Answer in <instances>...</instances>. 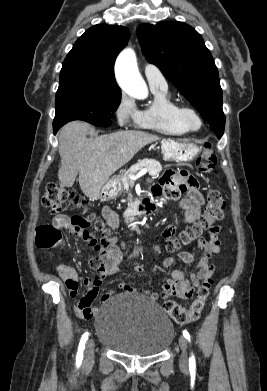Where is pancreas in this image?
Segmentation results:
<instances>
[{
  "mask_svg": "<svg viewBox=\"0 0 267 391\" xmlns=\"http://www.w3.org/2000/svg\"><path fill=\"white\" fill-rule=\"evenodd\" d=\"M146 167L149 174L152 177H157L162 170L161 164L154 159H143L132 165L122 176L121 182L124 189L128 190L130 186L134 184V181L130 178L137 173L138 170Z\"/></svg>",
  "mask_w": 267,
  "mask_h": 391,
  "instance_id": "cf45deb5",
  "label": "pancreas"
}]
</instances>
